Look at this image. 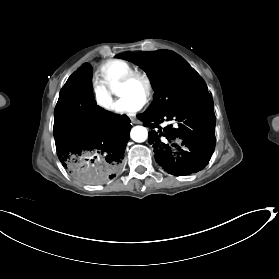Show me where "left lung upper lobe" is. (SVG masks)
<instances>
[{
    "label": "left lung upper lobe",
    "instance_id": "left-lung-upper-lobe-1",
    "mask_svg": "<svg viewBox=\"0 0 279 279\" xmlns=\"http://www.w3.org/2000/svg\"><path fill=\"white\" fill-rule=\"evenodd\" d=\"M139 65L149 76L155 91L154 100L145 113L168 112L184 102L208 92L205 83L189 64L168 51L121 53L116 55Z\"/></svg>",
    "mask_w": 279,
    "mask_h": 279
}]
</instances>
